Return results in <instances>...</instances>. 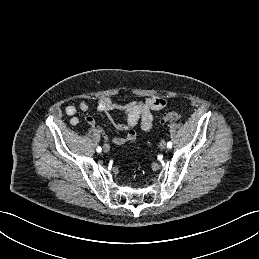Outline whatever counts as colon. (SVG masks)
<instances>
[{"label":"colon","instance_id":"1","mask_svg":"<svg viewBox=\"0 0 259 259\" xmlns=\"http://www.w3.org/2000/svg\"><path fill=\"white\" fill-rule=\"evenodd\" d=\"M183 119V114L177 111H169L165 113L162 117L163 123H169L173 121H180Z\"/></svg>","mask_w":259,"mask_h":259}]
</instances>
